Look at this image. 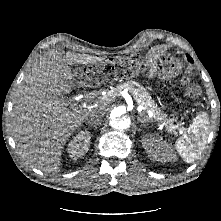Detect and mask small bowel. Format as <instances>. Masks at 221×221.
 Here are the masks:
<instances>
[{"label":"small bowel","mask_w":221,"mask_h":221,"mask_svg":"<svg viewBox=\"0 0 221 221\" xmlns=\"http://www.w3.org/2000/svg\"><path fill=\"white\" fill-rule=\"evenodd\" d=\"M149 62H152V59H149ZM149 75H152V70H150Z\"/></svg>","instance_id":"c3829d8e"}]
</instances>
